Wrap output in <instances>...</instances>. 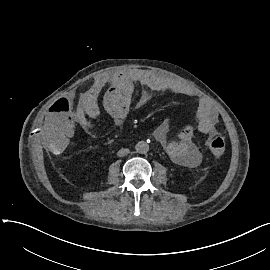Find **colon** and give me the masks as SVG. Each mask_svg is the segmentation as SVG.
<instances>
[{
  "instance_id": "colon-1",
  "label": "colon",
  "mask_w": 270,
  "mask_h": 270,
  "mask_svg": "<svg viewBox=\"0 0 270 270\" xmlns=\"http://www.w3.org/2000/svg\"><path fill=\"white\" fill-rule=\"evenodd\" d=\"M226 145L225 137L215 135L208 142L209 151L214 154V159L218 163H223L227 159V154L223 151Z\"/></svg>"
}]
</instances>
